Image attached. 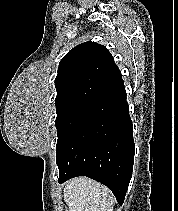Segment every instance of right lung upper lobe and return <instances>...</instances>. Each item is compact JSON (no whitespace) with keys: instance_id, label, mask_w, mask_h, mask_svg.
Returning <instances> with one entry per match:
<instances>
[{"instance_id":"cb5924a9","label":"right lung upper lobe","mask_w":178,"mask_h":211,"mask_svg":"<svg viewBox=\"0 0 178 211\" xmlns=\"http://www.w3.org/2000/svg\"><path fill=\"white\" fill-rule=\"evenodd\" d=\"M56 107L78 101L97 102L124 87L119 68L103 45L85 42L60 61L55 79Z\"/></svg>"}]
</instances>
